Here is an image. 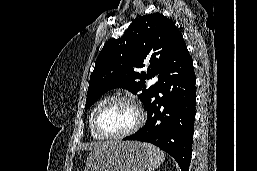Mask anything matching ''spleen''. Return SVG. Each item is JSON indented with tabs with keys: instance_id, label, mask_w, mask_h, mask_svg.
<instances>
[{
	"instance_id": "1",
	"label": "spleen",
	"mask_w": 257,
	"mask_h": 171,
	"mask_svg": "<svg viewBox=\"0 0 257 171\" xmlns=\"http://www.w3.org/2000/svg\"><path fill=\"white\" fill-rule=\"evenodd\" d=\"M142 145L148 151L149 154V171H154L164 162V153L159 148L151 144L143 143Z\"/></svg>"
}]
</instances>
